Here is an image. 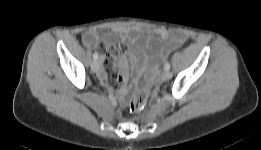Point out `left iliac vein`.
Masks as SVG:
<instances>
[{
	"label": "left iliac vein",
	"mask_w": 261,
	"mask_h": 150,
	"mask_svg": "<svg viewBox=\"0 0 261 150\" xmlns=\"http://www.w3.org/2000/svg\"><path fill=\"white\" fill-rule=\"evenodd\" d=\"M172 76H173V74H172L171 71H166V72L164 73V79H165V80L171 79Z\"/></svg>",
	"instance_id": "4c4485c4"
}]
</instances>
